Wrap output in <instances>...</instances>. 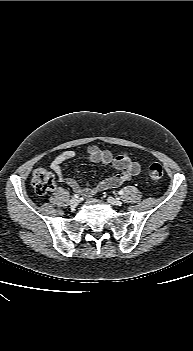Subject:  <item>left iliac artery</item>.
<instances>
[{
  "label": "left iliac artery",
  "mask_w": 193,
  "mask_h": 351,
  "mask_svg": "<svg viewBox=\"0 0 193 351\" xmlns=\"http://www.w3.org/2000/svg\"><path fill=\"white\" fill-rule=\"evenodd\" d=\"M118 194H119V195H123V194H124V191H123V190H120V191L118 192Z\"/></svg>",
  "instance_id": "44dca946"
}]
</instances>
